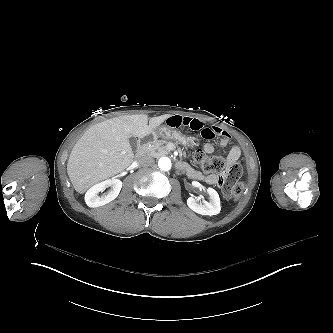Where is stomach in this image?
Listing matches in <instances>:
<instances>
[{
	"label": "stomach",
	"instance_id": "stomach-1",
	"mask_svg": "<svg viewBox=\"0 0 333 333\" xmlns=\"http://www.w3.org/2000/svg\"><path fill=\"white\" fill-rule=\"evenodd\" d=\"M158 138L166 140L172 139L175 142L181 141L185 144V147L189 149L198 147L200 143L199 139L195 138L191 133H181L180 131H175L166 125H162L154 129L153 132L147 136L145 143L152 142Z\"/></svg>",
	"mask_w": 333,
	"mask_h": 333
}]
</instances>
